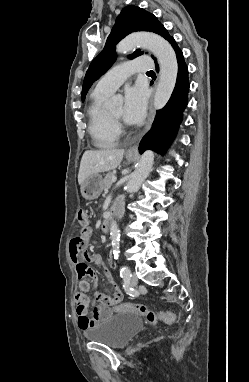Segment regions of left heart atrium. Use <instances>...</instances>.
I'll return each instance as SVG.
<instances>
[{
	"label": "left heart atrium",
	"instance_id": "obj_1",
	"mask_svg": "<svg viewBox=\"0 0 249 382\" xmlns=\"http://www.w3.org/2000/svg\"><path fill=\"white\" fill-rule=\"evenodd\" d=\"M147 96L140 86H133L126 90L123 118L128 124L140 123L146 112Z\"/></svg>",
	"mask_w": 249,
	"mask_h": 382
}]
</instances>
